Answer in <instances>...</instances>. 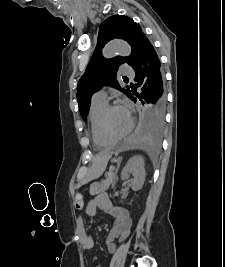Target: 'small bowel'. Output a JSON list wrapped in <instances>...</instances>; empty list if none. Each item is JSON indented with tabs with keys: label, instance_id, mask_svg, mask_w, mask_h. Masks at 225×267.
I'll return each instance as SVG.
<instances>
[{
	"label": "small bowel",
	"instance_id": "1",
	"mask_svg": "<svg viewBox=\"0 0 225 267\" xmlns=\"http://www.w3.org/2000/svg\"><path fill=\"white\" fill-rule=\"evenodd\" d=\"M97 210H102L114 217V222L110 228L106 239V247L109 253L116 251L115 240L123 241L127 238L131 228V217L127 210L122 207L114 206L106 194H100L94 197L86 207V213L90 216L94 215ZM93 247V240L89 234H84L82 239L83 250ZM101 267V266H96Z\"/></svg>",
	"mask_w": 225,
	"mask_h": 267
}]
</instances>
